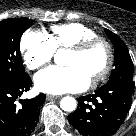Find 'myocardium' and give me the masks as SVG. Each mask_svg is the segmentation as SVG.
<instances>
[{"instance_id": "1", "label": "myocardium", "mask_w": 136, "mask_h": 136, "mask_svg": "<svg viewBox=\"0 0 136 136\" xmlns=\"http://www.w3.org/2000/svg\"><path fill=\"white\" fill-rule=\"evenodd\" d=\"M96 44H103L105 46L107 50V60L102 70L90 80V84L92 86H95L101 81H103L109 75L113 67L115 53L111 42L107 38L97 35L91 38L84 39L69 48V51L71 52L82 54L92 48L93 46H95Z\"/></svg>"}]
</instances>
